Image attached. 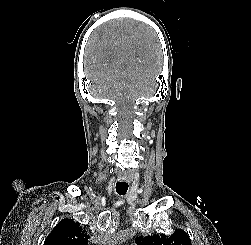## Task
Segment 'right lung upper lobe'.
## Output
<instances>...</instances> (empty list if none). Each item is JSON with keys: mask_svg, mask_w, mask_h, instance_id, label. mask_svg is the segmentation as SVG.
I'll return each instance as SVG.
<instances>
[{"mask_svg": "<svg viewBox=\"0 0 251 245\" xmlns=\"http://www.w3.org/2000/svg\"><path fill=\"white\" fill-rule=\"evenodd\" d=\"M89 236L78 222L61 220L45 239L44 245H87Z\"/></svg>", "mask_w": 251, "mask_h": 245, "instance_id": "right-lung-upper-lobe-1", "label": "right lung upper lobe"}]
</instances>
